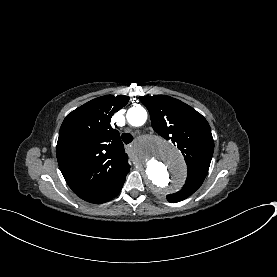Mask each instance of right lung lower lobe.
Returning <instances> with one entry per match:
<instances>
[{"instance_id": "obj_1", "label": "right lung lower lobe", "mask_w": 277, "mask_h": 277, "mask_svg": "<svg viewBox=\"0 0 277 277\" xmlns=\"http://www.w3.org/2000/svg\"><path fill=\"white\" fill-rule=\"evenodd\" d=\"M78 167H85V168H91L92 167V164H86V165H84V166H82V165H77V166H75L74 168H78ZM98 170V175H102V174H104L105 172H106V174H109L110 173V171H111V168H109V169H105V168H103V169H97ZM123 186V185H122ZM122 186L118 189V191L114 194V196L112 197V198H114L115 196H117L118 194H119V192L121 191V189H122ZM112 198H110V199H112ZM109 199V200H110ZM108 200V201H109ZM107 202V201H106Z\"/></svg>"}]
</instances>
